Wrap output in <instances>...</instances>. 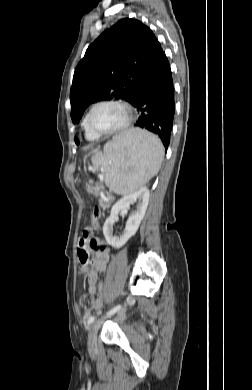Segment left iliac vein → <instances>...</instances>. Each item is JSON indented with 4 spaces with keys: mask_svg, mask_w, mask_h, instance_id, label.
<instances>
[{
    "mask_svg": "<svg viewBox=\"0 0 252 390\" xmlns=\"http://www.w3.org/2000/svg\"><path fill=\"white\" fill-rule=\"evenodd\" d=\"M103 320H95L88 328V351L94 353L97 349V333Z\"/></svg>",
    "mask_w": 252,
    "mask_h": 390,
    "instance_id": "4c4485c4",
    "label": "left iliac vein"
}]
</instances>
